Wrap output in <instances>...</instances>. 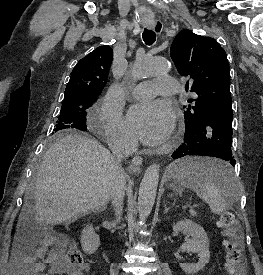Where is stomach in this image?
Here are the masks:
<instances>
[{
    "instance_id": "obj_1",
    "label": "stomach",
    "mask_w": 263,
    "mask_h": 275,
    "mask_svg": "<svg viewBox=\"0 0 263 275\" xmlns=\"http://www.w3.org/2000/svg\"><path fill=\"white\" fill-rule=\"evenodd\" d=\"M173 190L177 193V194H181L182 193V189L179 187H173Z\"/></svg>"
}]
</instances>
